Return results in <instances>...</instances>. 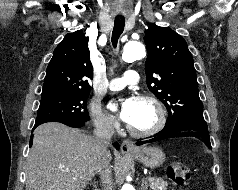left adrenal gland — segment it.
Returning a JSON list of instances; mask_svg holds the SVG:
<instances>
[{
  "label": "left adrenal gland",
  "instance_id": "left-adrenal-gland-1",
  "mask_svg": "<svg viewBox=\"0 0 238 190\" xmlns=\"http://www.w3.org/2000/svg\"><path fill=\"white\" fill-rule=\"evenodd\" d=\"M148 189V183L145 178L142 180V190H147Z\"/></svg>",
  "mask_w": 238,
  "mask_h": 190
}]
</instances>
